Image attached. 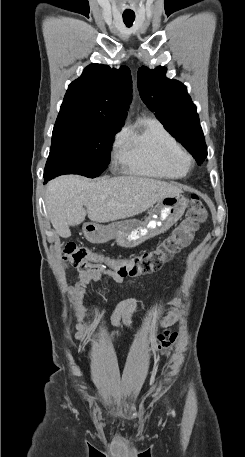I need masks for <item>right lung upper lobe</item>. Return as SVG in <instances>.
I'll return each instance as SVG.
<instances>
[{
	"instance_id": "right-lung-upper-lobe-1",
	"label": "right lung upper lobe",
	"mask_w": 245,
	"mask_h": 457,
	"mask_svg": "<svg viewBox=\"0 0 245 457\" xmlns=\"http://www.w3.org/2000/svg\"><path fill=\"white\" fill-rule=\"evenodd\" d=\"M131 83L126 66L111 69L90 64L68 86L59 115L124 122L131 102Z\"/></svg>"
}]
</instances>
